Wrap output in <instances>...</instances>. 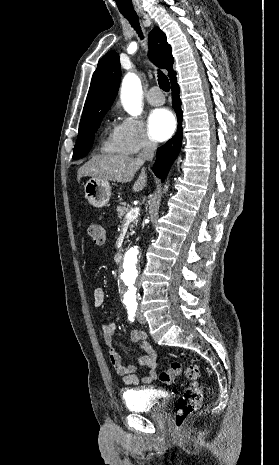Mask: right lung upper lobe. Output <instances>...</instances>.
<instances>
[{"label":"right lung upper lobe","instance_id":"right-lung-upper-lobe-1","mask_svg":"<svg viewBox=\"0 0 279 465\" xmlns=\"http://www.w3.org/2000/svg\"><path fill=\"white\" fill-rule=\"evenodd\" d=\"M149 48L150 58L158 67L167 69L171 83L174 82L176 73L173 70L171 46L167 43L166 35L158 27L153 28L149 34ZM120 77L119 56L110 51L99 61L92 76L79 127L110 108L119 88Z\"/></svg>","mask_w":279,"mask_h":465}]
</instances>
